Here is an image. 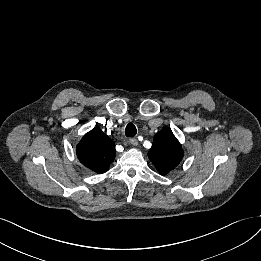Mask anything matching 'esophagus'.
<instances>
[{"instance_id":"1","label":"esophagus","mask_w":261,"mask_h":261,"mask_svg":"<svg viewBox=\"0 0 261 261\" xmlns=\"http://www.w3.org/2000/svg\"><path fill=\"white\" fill-rule=\"evenodd\" d=\"M129 142H130L131 145H133V146H138V140L135 139V138H131V139L129 140Z\"/></svg>"}]
</instances>
